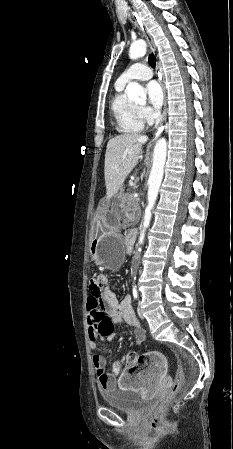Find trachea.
Segmentation results:
<instances>
[{
  "instance_id": "obj_1",
  "label": "trachea",
  "mask_w": 233,
  "mask_h": 449,
  "mask_svg": "<svg viewBox=\"0 0 233 449\" xmlns=\"http://www.w3.org/2000/svg\"><path fill=\"white\" fill-rule=\"evenodd\" d=\"M148 62H149L150 66H151L152 68H155V65H156V58H155V56H154L153 53L149 55V57H148Z\"/></svg>"
}]
</instances>
